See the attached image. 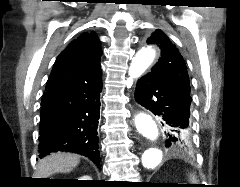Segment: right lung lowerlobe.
Wrapping results in <instances>:
<instances>
[{"label": "right lung lower lobe", "mask_w": 240, "mask_h": 187, "mask_svg": "<svg viewBox=\"0 0 240 187\" xmlns=\"http://www.w3.org/2000/svg\"><path fill=\"white\" fill-rule=\"evenodd\" d=\"M101 88V73H98L43 94L40 158L61 150L84 155L99 166L97 127Z\"/></svg>", "instance_id": "98d812e1"}]
</instances>
